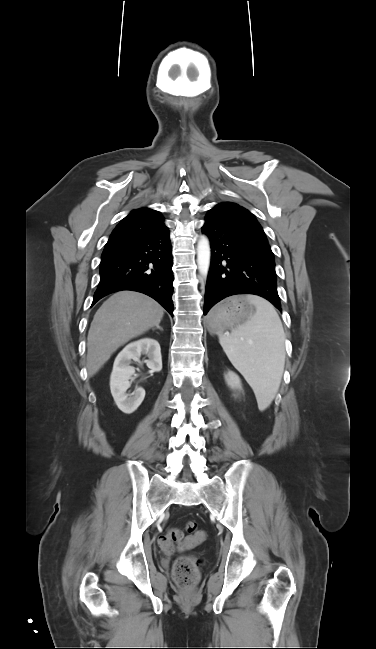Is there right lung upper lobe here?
<instances>
[{
    "instance_id": "obj_1",
    "label": "right lung upper lobe",
    "mask_w": 376,
    "mask_h": 649,
    "mask_svg": "<svg viewBox=\"0 0 376 649\" xmlns=\"http://www.w3.org/2000/svg\"><path fill=\"white\" fill-rule=\"evenodd\" d=\"M165 228L163 217L158 211L146 208L133 210L116 226L106 246L151 235Z\"/></svg>"
}]
</instances>
